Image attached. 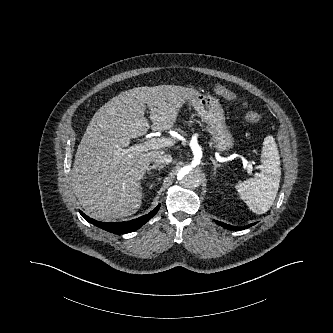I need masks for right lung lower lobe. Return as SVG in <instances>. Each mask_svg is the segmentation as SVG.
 Here are the masks:
<instances>
[{
    "mask_svg": "<svg viewBox=\"0 0 333 333\" xmlns=\"http://www.w3.org/2000/svg\"><path fill=\"white\" fill-rule=\"evenodd\" d=\"M159 208H160V204L147 215L141 216V217H139L137 219H133L131 221L110 222V223L96 221V220L88 217L87 215H85L82 211H79V212L88 222L92 223L93 225H95L99 228H102L108 232H112L115 234H125V233H129V232L139 229L142 225H144L149 219H151L157 213Z\"/></svg>",
    "mask_w": 333,
    "mask_h": 333,
    "instance_id": "obj_1",
    "label": "right lung lower lobe"
}]
</instances>
